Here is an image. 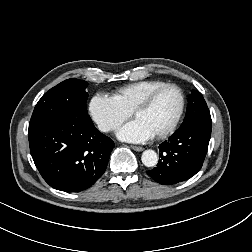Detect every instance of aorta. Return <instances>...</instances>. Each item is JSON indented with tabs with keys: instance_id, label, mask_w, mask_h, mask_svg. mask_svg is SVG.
<instances>
[{
	"instance_id": "obj_1",
	"label": "aorta",
	"mask_w": 252,
	"mask_h": 252,
	"mask_svg": "<svg viewBox=\"0 0 252 252\" xmlns=\"http://www.w3.org/2000/svg\"><path fill=\"white\" fill-rule=\"evenodd\" d=\"M141 160L146 167H154L158 163V156L154 150H145L142 153Z\"/></svg>"
}]
</instances>
